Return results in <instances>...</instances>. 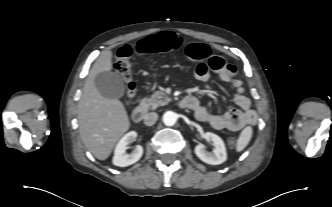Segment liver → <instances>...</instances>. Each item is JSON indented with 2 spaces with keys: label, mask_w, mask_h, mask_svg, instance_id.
<instances>
[{
  "label": "liver",
  "mask_w": 332,
  "mask_h": 207,
  "mask_svg": "<svg viewBox=\"0 0 332 207\" xmlns=\"http://www.w3.org/2000/svg\"><path fill=\"white\" fill-rule=\"evenodd\" d=\"M112 51H104L93 64L78 105L79 132L83 144L99 160L107 159L116 142L129 129L126 109L116 98L103 97L95 76L112 69Z\"/></svg>",
  "instance_id": "liver-1"
}]
</instances>
